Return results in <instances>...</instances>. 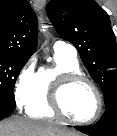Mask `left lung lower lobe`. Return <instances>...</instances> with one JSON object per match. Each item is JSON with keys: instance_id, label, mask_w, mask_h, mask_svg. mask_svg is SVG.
<instances>
[{"instance_id": "0a47b994", "label": "left lung lower lobe", "mask_w": 117, "mask_h": 136, "mask_svg": "<svg viewBox=\"0 0 117 136\" xmlns=\"http://www.w3.org/2000/svg\"><path fill=\"white\" fill-rule=\"evenodd\" d=\"M74 128L90 136H117V101L106 108L95 125L74 126Z\"/></svg>"}]
</instances>
